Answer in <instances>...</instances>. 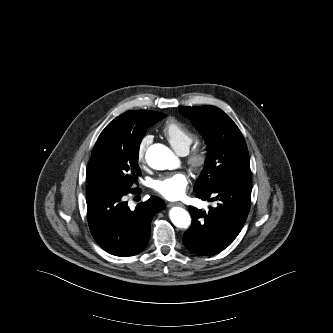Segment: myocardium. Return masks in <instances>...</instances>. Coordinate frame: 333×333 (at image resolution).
I'll use <instances>...</instances> for the list:
<instances>
[{
  "label": "myocardium",
  "instance_id": "obj_1",
  "mask_svg": "<svg viewBox=\"0 0 333 333\" xmlns=\"http://www.w3.org/2000/svg\"><path fill=\"white\" fill-rule=\"evenodd\" d=\"M207 160V146L202 142L196 143L187 157L190 169L195 173H200L205 168Z\"/></svg>",
  "mask_w": 333,
  "mask_h": 333
}]
</instances>
